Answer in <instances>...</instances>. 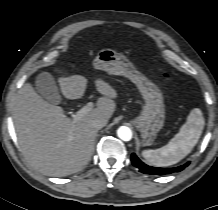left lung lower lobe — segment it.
<instances>
[{
	"instance_id": "obj_1",
	"label": "left lung lower lobe",
	"mask_w": 218,
	"mask_h": 210,
	"mask_svg": "<svg viewBox=\"0 0 218 210\" xmlns=\"http://www.w3.org/2000/svg\"><path fill=\"white\" fill-rule=\"evenodd\" d=\"M132 164L139 169L140 172L150 175H165L173 172H179L189 165V162L176 168H157L144 164L134 153L131 155Z\"/></svg>"
}]
</instances>
